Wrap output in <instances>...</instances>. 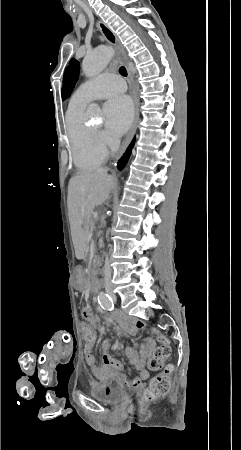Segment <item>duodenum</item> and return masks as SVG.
Here are the masks:
<instances>
[{"instance_id": "410a0bca", "label": "duodenum", "mask_w": 241, "mask_h": 450, "mask_svg": "<svg viewBox=\"0 0 241 450\" xmlns=\"http://www.w3.org/2000/svg\"><path fill=\"white\" fill-rule=\"evenodd\" d=\"M90 287L93 292L97 291L100 288V281L95 274L94 268L91 269Z\"/></svg>"}]
</instances>
